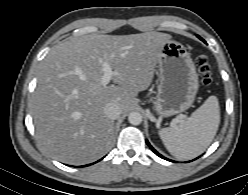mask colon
Instances as JSON below:
<instances>
[{
	"label": "colon",
	"instance_id": "colon-1",
	"mask_svg": "<svg viewBox=\"0 0 248 195\" xmlns=\"http://www.w3.org/2000/svg\"><path fill=\"white\" fill-rule=\"evenodd\" d=\"M198 70L201 81L204 86H210L213 83V66L205 56L197 58Z\"/></svg>",
	"mask_w": 248,
	"mask_h": 195
}]
</instances>
